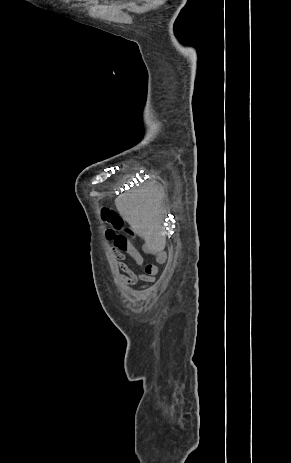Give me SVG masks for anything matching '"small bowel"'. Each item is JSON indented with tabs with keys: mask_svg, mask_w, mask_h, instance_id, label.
I'll return each mask as SVG.
<instances>
[{
	"mask_svg": "<svg viewBox=\"0 0 291 463\" xmlns=\"http://www.w3.org/2000/svg\"><path fill=\"white\" fill-rule=\"evenodd\" d=\"M113 240V246L111 251L115 258L117 268L120 270L118 274V280L126 285H136L138 281H143L145 284L141 287H147L155 282V276L158 273V269L154 264H147L144 268L145 273H138L131 269L125 262L127 257L131 258L133 262L142 267L144 258L142 253L132 244L131 240L127 236L116 235ZM143 251L145 253H154L156 255V261L161 263L165 259V255L151 246H144ZM151 267V270H148Z\"/></svg>",
	"mask_w": 291,
	"mask_h": 463,
	"instance_id": "small-bowel-1",
	"label": "small bowel"
}]
</instances>
